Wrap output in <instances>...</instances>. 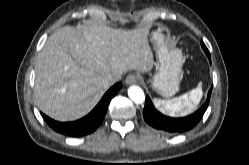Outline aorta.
I'll return each instance as SVG.
<instances>
[{
  "mask_svg": "<svg viewBox=\"0 0 249 165\" xmlns=\"http://www.w3.org/2000/svg\"><path fill=\"white\" fill-rule=\"evenodd\" d=\"M128 96L136 104H141L145 100V94L143 90L138 86L129 87Z\"/></svg>",
  "mask_w": 249,
  "mask_h": 165,
  "instance_id": "obj_1",
  "label": "aorta"
}]
</instances>
